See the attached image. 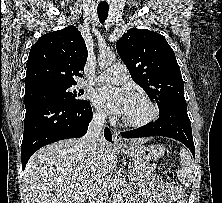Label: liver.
<instances>
[{"mask_svg":"<svg viewBox=\"0 0 222 203\" xmlns=\"http://www.w3.org/2000/svg\"><path fill=\"white\" fill-rule=\"evenodd\" d=\"M147 139H133L143 144ZM117 163L116 149L107 141L90 156L82 138L61 140L39 149L24 170V185L31 203H82L100 172L108 174Z\"/></svg>","mask_w":222,"mask_h":203,"instance_id":"obj_1","label":"liver"}]
</instances>
